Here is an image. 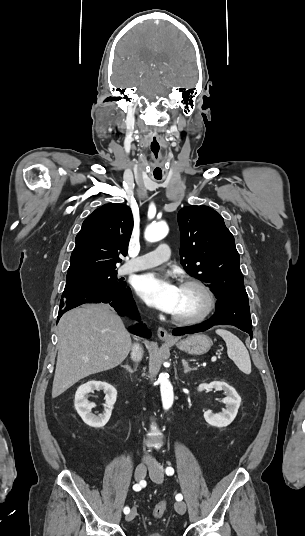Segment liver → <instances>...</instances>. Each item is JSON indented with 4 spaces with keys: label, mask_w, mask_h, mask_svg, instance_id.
Wrapping results in <instances>:
<instances>
[{
    "label": "liver",
    "mask_w": 305,
    "mask_h": 536,
    "mask_svg": "<svg viewBox=\"0 0 305 536\" xmlns=\"http://www.w3.org/2000/svg\"><path fill=\"white\" fill-rule=\"evenodd\" d=\"M58 338L52 398L90 374L116 368L132 346L121 318L106 304H84L66 312L58 324Z\"/></svg>",
    "instance_id": "obj_1"
}]
</instances>
